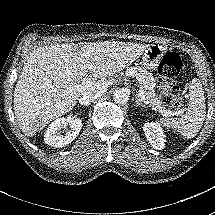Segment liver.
Wrapping results in <instances>:
<instances>
[{"instance_id":"6515ba94","label":"liver","mask_w":215,"mask_h":215,"mask_svg":"<svg viewBox=\"0 0 215 215\" xmlns=\"http://www.w3.org/2000/svg\"><path fill=\"white\" fill-rule=\"evenodd\" d=\"M148 46L112 40L63 43L32 51L14 90L19 128L33 137L51 120L70 112L84 93L102 90L84 87L89 72L94 78L113 76L130 66Z\"/></svg>"}]
</instances>
